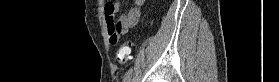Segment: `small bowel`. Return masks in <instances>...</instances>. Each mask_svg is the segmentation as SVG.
Returning a JSON list of instances; mask_svg holds the SVG:
<instances>
[{"instance_id": "1", "label": "small bowel", "mask_w": 279, "mask_h": 82, "mask_svg": "<svg viewBox=\"0 0 279 82\" xmlns=\"http://www.w3.org/2000/svg\"><path fill=\"white\" fill-rule=\"evenodd\" d=\"M143 0H134V6L120 16L117 22L114 21V15L119 10V3H108L105 5V17L108 27L109 41L116 45L120 41L121 35L127 33L129 29L136 26L140 19V7Z\"/></svg>"}]
</instances>
